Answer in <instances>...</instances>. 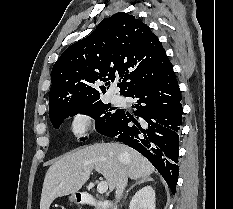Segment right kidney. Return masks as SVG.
<instances>
[{
  "instance_id": "obj_1",
  "label": "right kidney",
  "mask_w": 233,
  "mask_h": 209,
  "mask_svg": "<svg viewBox=\"0 0 233 209\" xmlns=\"http://www.w3.org/2000/svg\"><path fill=\"white\" fill-rule=\"evenodd\" d=\"M155 190L152 186L140 189L130 201L129 209H155Z\"/></svg>"
}]
</instances>
